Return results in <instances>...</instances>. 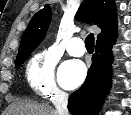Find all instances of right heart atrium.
Masks as SVG:
<instances>
[{"label":"right heart atrium","instance_id":"d8ad5b80","mask_svg":"<svg viewBox=\"0 0 131 115\" xmlns=\"http://www.w3.org/2000/svg\"><path fill=\"white\" fill-rule=\"evenodd\" d=\"M56 57L43 49L35 53L27 62L25 78L29 87L46 99H64L66 93L58 86L55 79Z\"/></svg>","mask_w":131,"mask_h":115}]
</instances>
